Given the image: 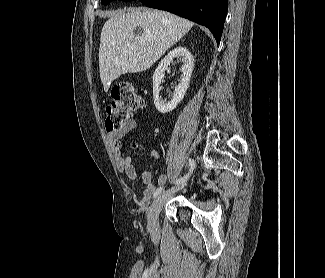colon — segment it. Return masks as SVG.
<instances>
[{
	"instance_id": "5ec220e1",
	"label": "colon",
	"mask_w": 325,
	"mask_h": 278,
	"mask_svg": "<svg viewBox=\"0 0 325 278\" xmlns=\"http://www.w3.org/2000/svg\"><path fill=\"white\" fill-rule=\"evenodd\" d=\"M144 104L134 86L124 84L114 87L111 91V102L106 107V130L112 132L122 127Z\"/></svg>"
}]
</instances>
